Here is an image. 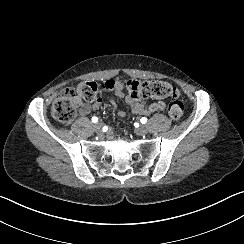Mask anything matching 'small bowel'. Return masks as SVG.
Returning a JSON list of instances; mask_svg holds the SVG:
<instances>
[{
    "mask_svg": "<svg viewBox=\"0 0 244 244\" xmlns=\"http://www.w3.org/2000/svg\"><path fill=\"white\" fill-rule=\"evenodd\" d=\"M104 87L106 90L111 91L116 97L123 98L134 114L150 115L165 109V103L162 101L147 103L143 100H132L125 91L124 83L120 80H108L105 82ZM110 104L116 109L118 116L123 117L125 115L124 110L117 108L115 99H111ZM100 106V101H96L92 104L82 103L79 105L78 114L81 117L86 116L91 111L98 110Z\"/></svg>",
    "mask_w": 244,
    "mask_h": 244,
    "instance_id": "obj_1",
    "label": "small bowel"
}]
</instances>
